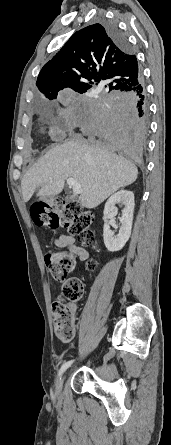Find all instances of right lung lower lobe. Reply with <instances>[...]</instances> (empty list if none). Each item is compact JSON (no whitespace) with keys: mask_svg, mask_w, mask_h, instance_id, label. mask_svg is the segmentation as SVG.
Here are the masks:
<instances>
[{"mask_svg":"<svg viewBox=\"0 0 171 445\" xmlns=\"http://www.w3.org/2000/svg\"><path fill=\"white\" fill-rule=\"evenodd\" d=\"M113 41L126 47L127 40L113 23L104 25ZM148 119L143 81L125 93H107L92 101L84 112L85 132L104 148L127 159H142Z\"/></svg>","mask_w":171,"mask_h":445,"instance_id":"98d812e1","label":"right lung lower lobe"}]
</instances>
